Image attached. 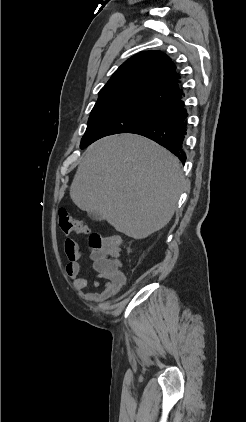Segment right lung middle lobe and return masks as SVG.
<instances>
[{
    "label": "right lung middle lobe",
    "mask_w": 246,
    "mask_h": 422,
    "mask_svg": "<svg viewBox=\"0 0 246 422\" xmlns=\"http://www.w3.org/2000/svg\"><path fill=\"white\" fill-rule=\"evenodd\" d=\"M160 115L159 108L140 105L95 106L88 120L81 148L108 135L129 133Z\"/></svg>",
    "instance_id": "dd1d6c3e"
}]
</instances>
